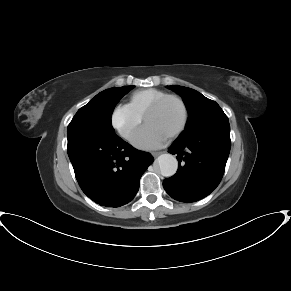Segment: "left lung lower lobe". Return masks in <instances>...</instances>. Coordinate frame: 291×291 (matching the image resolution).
Returning a JSON list of instances; mask_svg holds the SVG:
<instances>
[{
  "instance_id": "1",
  "label": "left lung lower lobe",
  "mask_w": 291,
  "mask_h": 291,
  "mask_svg": "<svg viewBox=\"0 0 291 291\" xmlns=\"http://www.w3.org/2000/svg\"><path fill=\"white\" fill-rule=\"evenodd\" d=\"M230 147L229 123L177 138L169 153L177 155L178 172L164 179L165 191L175 200L186 203L208 196L222 179Z\"/></svg>"
}]
</instances>
